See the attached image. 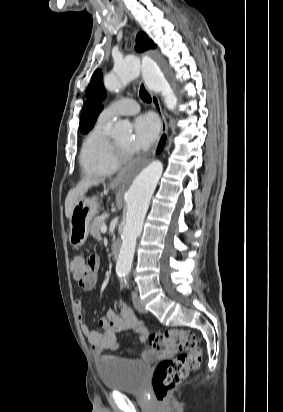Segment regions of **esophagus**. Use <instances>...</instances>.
<instances>
[{"label": "esophagus", "mask_w": 283, "mask_h": 412, "mask_svg": "<svg viewBox=\"0 0 283 412\" xmlns=\"http://www.w3.org/2000/svg\"><path fill=\"white\" fill-rule=\"evenodd\" d=\"M150 94H151L153 106H154V108L156 109V111H157V113H158V115H159V117H160V122H161L160 137H161V136H163V135H165V134L167 133V130H168L167 121H166L165 115H164V113H163V110H162V107H161V104H160L159 97H158L156 94L152 93V92H150ZM155 150H156V148L154 149L153 153L155 152ZM123 175H124L123 172H122V173H119V174L112 180L111 185H112V186L118 185V184L121 182V180H122V178H123Z\"/></svg>", "instance_id": "obj_1"}]
</instances>
